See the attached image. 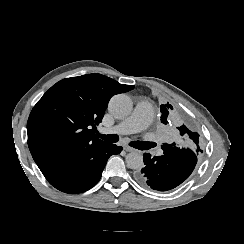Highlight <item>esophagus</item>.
<instances>
[{"label":"esophagus","mask_w":244,"mask_h":244,"mask_svg":"<svg viewBox=\"0 0 244 244\" xmlns=\"http://www.w3.org/2000/svg\"><path fill=\"white\" fill-rule=\"evenodd\" d=\"M123 149H124L126 152H133V151H135V149H133V148H131V147H129V146H126V145L123 146Z\"/></svg>","instance_id":"obj_1"}]
</instances>
